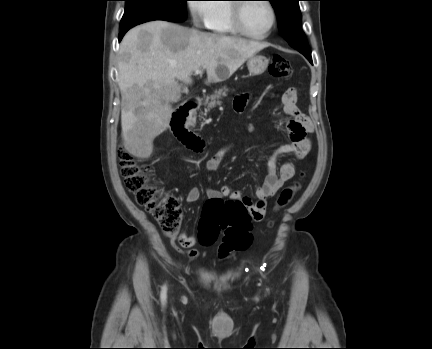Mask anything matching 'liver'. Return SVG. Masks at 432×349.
<instances>
[{
    "label": "liver",
    "mask_w": 432,
    "mask_h": 349,
    "mask_svg": "<svg viewBox=\"0 0 432 349\" xmlns=\"http://www.w3.org/2000/svg\"><path fill=\"white\" fill-rule=\"evenodd\" d=\"M268 43L202 32L166 21L129 30L120 43L118 63L124 145L148 158L153 140L172 117L171 102L180 98L176 80L191 84L193 71L204 68L207 83L219 82L218 67L231 76Z\"/></svg>",
    "instance_id": "6515ba94"
}]
</instances>
